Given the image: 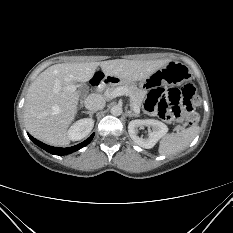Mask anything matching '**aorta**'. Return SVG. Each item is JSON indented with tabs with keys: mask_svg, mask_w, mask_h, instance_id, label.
Masks as SVG:
<instances>
[{
	"mask_svg": "<svg viewBox=\"0 0 233 233\" xmlns=\"http://www.w3.org/2000/svg\"><path fill=\"white\" fill-rule=\"evenodd\" d=\"M122 111V106L120 105H114L110 110L111 114L114 116H120L122 114Z\"/></svg>",
	"mask_w": 233,
	"mask_h": 233,
	"instance_id": "762f6f07",
	"label": "aorta"
}]
</instances>
